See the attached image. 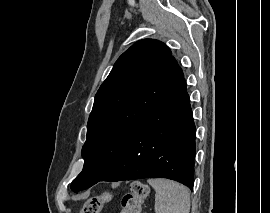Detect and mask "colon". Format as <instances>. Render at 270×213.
<instances>
[{
    "instance_id": "5ec220e1",
    "label": "colon",
    "mask_w": 270,
    "mask_h": 213,
    "mask_svg": "<svg viewBox=\"0 0 270 213\" xmlns=\"http://www.w3.org/2000/svg\"><path fill=\"white\" fill-rule=\"evenodd\" d=\"M149 195V187L141 182H133L121 197L120 213H140L143 202ZM111 199L109 193L90 197L83 205L81 213H100L104 204Z\"/></svg>"
}]
</instances>
